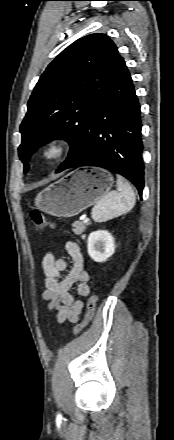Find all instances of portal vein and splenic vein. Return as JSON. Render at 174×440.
Here are the masks:
<instances>
[{"instance_id":"portal-vein-and-splenic-vein-1","label":"portal vein and splenic vein","mask_w":174,"mask_h":440,"mask_svg":"<svg viewBox=\"0 0 174 440\" xmlns=\"http://www.w3.org/2000/svg\"><path fill=\"white\" fill-rule=\"evenodd\" d=\"M83 221H84V222H88V221H89V218L85 217V218L83 219Z\"/></svg>"}]
</instances>
